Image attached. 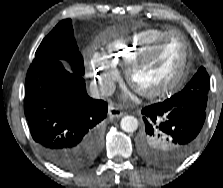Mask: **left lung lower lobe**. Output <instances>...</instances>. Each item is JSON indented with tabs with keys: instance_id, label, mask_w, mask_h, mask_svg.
Listing matches in <instances>:
<instances>
[{
	"instance_id": "0a47b994",
	"label": "left lung lower lobe",
	"mask_w": 223,
	"mask_h": 188,
	"mask_svg": "<svg viewBox=\"0 0 223 188\" xmlns=\"http://www.w3.org/2000/svg\"><path fill=\"white\" fill-rule=\"evenodd\" d=\"M145 133L159 131L173 145L171 161L187 157L196 147L206 118L205 110L156 103L142 110Z\"/></svg>"
}]
</instances>
